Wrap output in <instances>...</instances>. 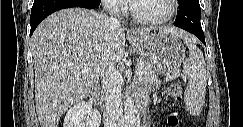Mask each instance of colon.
Listing matches in <instances>:
<instances>
[{
  "label": "colon",
  "mask_w": 243,
  "mask_h": 127,
  "mask_svg": "<svg viewBox=\"0 0 243 127\" xmlns=\"http://www.w3.org/2000/svg\"><path fill=\"white\" fill-rule=\"evenodd\" d=\"M167 97L173 104H177L182 99L181 87L178 83H171L167 89ZM169 126L176 127L180 125V118L178 112H173L167 119Z\"/></svg>",
  "instance_id": "1"
}]
</instances>
